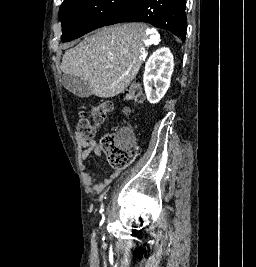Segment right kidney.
I'll list each match as a JSON object with an SVG mask.
<instances>
[{
  "label": "right kidney",
  "instance_id": "obj_1",
  "mask_svg": "<svg viewBox=\"0 0 256 267\" xmlns=\"http://www.w3.org/2000/svg\"><path fill=\"white\" fill-rule=\"evenodd\" d=\"M173 70L174 60L169 48H159L147 60L143 82L150 104H158L165 96L170 86Z\"/></svg>",
  "mask_w": 256,
  "mask_h": 267
}]
</instances>
